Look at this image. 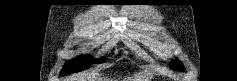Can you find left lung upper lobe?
<instances>
[{
    "instance_id": "5c2ea615",
    "label": "left lung upper lobe",
    "mask_w": 237,
    "mask_h": 81,
    "mask_svg": "<svg viewBox=\"0 0 237 81\" xmlns=\"http://www.w3.org/2000/svg\"><path fill=\"white\" fill-rule=\"evenodd\" d=\"M170 66L174 69V70H179V71H183L184 70V66L183 64L177 60V61H172L170 63Z\"/></svg>"
}]
</instances>
